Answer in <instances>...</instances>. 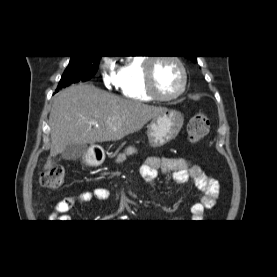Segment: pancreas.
Wrapping results in <instances>:
<instances>
[{
  "mask_svg": "<svg viewBox=\"0 0 277 277\" xmlns=\"http://www.w3.org/2000/svg\"><path fill=\"white\" fill-rule=\"evenodd\" d=\"M136 152L137 150L133 146H129L128 148L125 149L123 153L118 154L116 158V163L118 164L123 163L126 160L127 156L133 155Z\"/></svg>",
  "mask_w": 277,
  "mask_h": 277,
  "instance_id": "pancreas-1",
  "label": "pancreas"
}]
</instances>
